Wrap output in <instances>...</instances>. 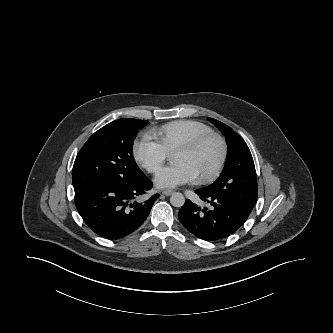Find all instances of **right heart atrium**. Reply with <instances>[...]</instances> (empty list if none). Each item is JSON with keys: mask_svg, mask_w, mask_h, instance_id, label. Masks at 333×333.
Here are the masks:
<instances>
[{"mask_svg": "<svg viewBox=\"0 0 333 333\" xmlns=\"http://www.w3.org/2000/svg\"><path fill=\"white\" fill-rule=\"evenodd\" d=\"M134 160L147 172L158 175L169 153L148 134L136 140L132 149Z\"/></svg>", "mask_w": 333, "mask_h": 333, "instance_id": "1", "label": "right heart atrium"}]
</instances>
